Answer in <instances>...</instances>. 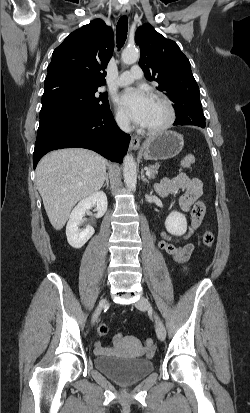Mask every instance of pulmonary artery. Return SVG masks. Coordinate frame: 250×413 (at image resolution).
<instances>
[{
  "label": "pulmonary artery",
  "mask_w": 250,
  "mask_h": 413,
  "mask_svg": "<svg viewBox=\"0 0 250 413\" xmlns=\"http://www.w3.org/2000/svg\"><path fill=\"white\" fill-rule=\"evenodd\" d=\"M142 71L139 66H133L129 71H125L120 74L117 84L119 86H127L133 83L135 80L141 78Z\"/></svg>",
  "instance_id": "1"
}]
</instances>
